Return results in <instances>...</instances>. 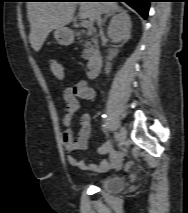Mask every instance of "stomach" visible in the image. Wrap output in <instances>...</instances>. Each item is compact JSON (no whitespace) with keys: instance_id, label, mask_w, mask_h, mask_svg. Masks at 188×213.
<instances>
[{"instance_id":"stomach-1","label":"stomach","mask_w":188,"mask_h":213,"mask_svg":"<svg viewBox=\"0 0 188 213\" xmlns=\"http://www.w3.org/2000/svg\"><path fill=\"white\" fill-rule=\"evenodd\" d=\"M56 41L63 46H68L73 43L72 31L67 27L57 28L54 31Z\"/></svg>"}]
</instances>
